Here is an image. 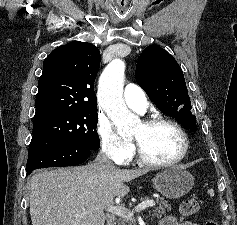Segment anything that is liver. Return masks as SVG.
Returning a JSON list of instances; mask_svg holds the SVG:
<instances>
[{"label":"liver","instance_id":"6515ba94","mask_svg":"<svg viewBox=\"0 0 237 225\" xmlns=\"http://www.w3.org/2000/svg\"><path fill=\"white\" fill-rule=\"evenodd\" d=\"M148 169L85 166L42 170L29 184L32 225H104V209L129 193V182Z\"/></svg>","mask_w":237,"mask_h":225}]
</instances>
